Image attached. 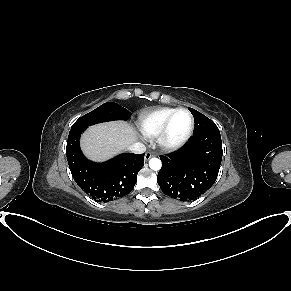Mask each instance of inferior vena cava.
<instances>
[{
  "label": "inferior vena cava",
  "mask_w": 291,
  "mask_h": 291,
  "mask_svg": "<svg viewBox=\"0 0 291 291\" xmlns=\"http://www.w3.org/2000/svg\"><path fill=\"white\" fill-rule=\"evenodd\" d=\"M128 150L132 153L140 154L146 151V146L143 143H133L128 147Z\"/></svg>",
  "instance_id": "obj_1"
}]
</instances>
